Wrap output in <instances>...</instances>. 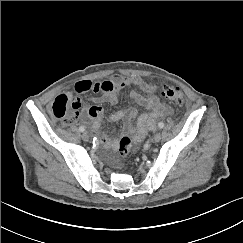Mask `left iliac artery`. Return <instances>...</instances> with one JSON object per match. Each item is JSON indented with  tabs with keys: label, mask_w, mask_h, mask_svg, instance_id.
<instances>
[{
	"label": "left iliac artery",
	"mask_w": 243,
	"mask_h": 243,
	"mask_svg": "<svg viewBox=\"0 0 243 243\" xmlns=\"http://www.w3.org/2000/svg\"><path fill=\"white\" fill-rule=\"evenodd\" d=\"M158 127H159L160 129L163 128V127H164V123H163V122L158 123Z\"/></svg>",
	"instance_id": "obj_1"
}]
</instances>
